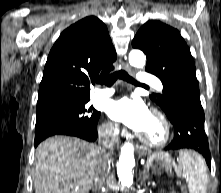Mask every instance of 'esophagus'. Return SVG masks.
I'll return each instance as SVG.
<instances>
[{
	"label": "esophagus",
	"instance_id": "esophagus-1",
	"mask_svg": "<svg viewBox=\"0 0 221 193\" xmlns=\"http://www.w3.org/2000/svg\"><path fill=\"white\" fill-rule=\"evenodd\" d=\"M122 67L124 70H126L127 72H131V67L129 66L128 63H123Z\"/></svg>",
	"mask_w": 221,
	"mask_h": 193
}]
</instances>
